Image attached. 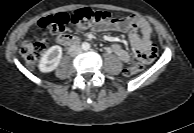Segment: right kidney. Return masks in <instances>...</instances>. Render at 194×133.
Wrapping results in <instances>:
<instances>
[{
    "label": "right kidney",
    "mask_w": 194,
    "mask_h": 133,
    "mask_svg": "<svg viewBox=\"0 0 194 133\" xmlns=\"http://www.w3.org/2000/svg\"><path fill=\"white\" fill-rule=\"evenodd\" d=\"M62 57V48L58 45L50 47L42 56L38 65L39 70L48 73L57 68Z\"/></svg>",
    "instance_id": "1"
}]
</instances>
